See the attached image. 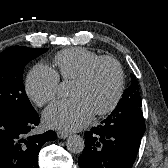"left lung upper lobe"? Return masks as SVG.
Here are the masks:
<instances>
[{"mask_svg": "<svg viewBox=\"0 0 168 168\" xmlns=\"http://www.w3.org/2000/svg\"><path fill=\"white\" fill-rule=\"evenodd\" d=\"M141 108L142 99L139 93V86L137 79L133 74H131V85L123 93L122 98L117 104L115 110H121L123 108Z\"/></svg>", "mask_w": 168, "mask_h": 168, "instance_id": "obj_1", "label": "left lung upper lobe"}]
</instances>
